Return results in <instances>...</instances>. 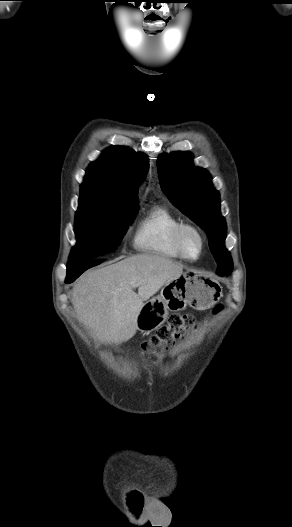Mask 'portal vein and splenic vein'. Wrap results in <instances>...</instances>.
Instances as JSON below:
<instances>
[{
  "mask_svg": "<svg viewBox=\"0 0 292 527\" xmlns=\"http://www.w3.org/2000/svg\"><path fill=\"white\" fill-rule=\"evenodd\" d=\"M137 285L136 284H133V287H136Z\"/></svg>",
  "mask_w": 292,
  "mask_h": 527,
  "instance_id": "18ae733b",
  "label": "portal vein and splenic vein"
}]
</instances>
